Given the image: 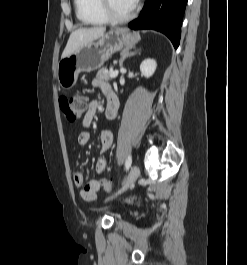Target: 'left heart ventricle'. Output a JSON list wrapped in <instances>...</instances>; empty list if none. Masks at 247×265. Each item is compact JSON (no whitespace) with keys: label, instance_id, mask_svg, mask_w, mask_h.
I'll return each mask as SVG.
<instances>
[{"label":"left heart ventricle","instance_id":"obj_1","mask_svg":"<svg viewBox=\"0 0 247 265\" xmlns=\"http://www.w3.org/2000/svg\"><path fill=\"white\" fill-rule=\"evenodd\" d=\"M108 1L112 9L115 11V13L119 15L128 14L133 8V5L128 0H108Z\"/></svg>","mask_w":247,"mask_h":265}]
</instances>
